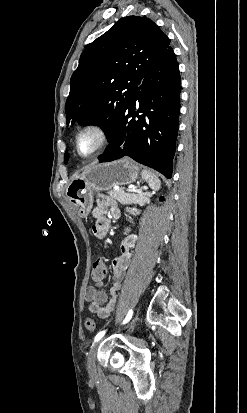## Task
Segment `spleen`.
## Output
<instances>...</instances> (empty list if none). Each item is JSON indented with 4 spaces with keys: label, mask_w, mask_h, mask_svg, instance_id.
Returning a JSON list of instances; mask_svg holds the SVG:
<instances>
[{
    "label": "spleen",
    "mask_w": 247,
    "mask_h": 413,
    "mask_svg": "<svg viewBox=\"0 0 247 413\" xmlns=\"http://www.w3.org/2000/svg\"><path fill=\"white\" fill-rule=\"evenodd\" d=\"M141 176L144 180L149 182V186H151V188H154V190H159L160 180L158 176H156L155 172H150V170H142Z\"/></svg>",
    "instance_id": "spleen-1"
}]
</instances>
